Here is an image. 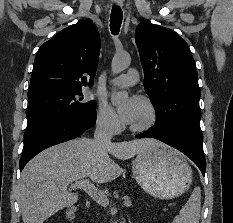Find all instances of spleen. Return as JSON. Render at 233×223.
I'll list each match as a JSON object with an SVG mask.
<instances>
[{
	"label": "spleen",
	"instance_id": "obj_1",
	"mask_svg": "<svg viewBox=\"0 0 233 223\" xmlns=\"http://www.w3.org/2000/svg\"><path fill=\"white\" fill-rule=\"evenodd\" d=\"M201 209V189L194 187L187 203L183 205L174 223H199Z\"/></svg>",
	"mask_w": 233,
	"mask_h": 223
}]
</instances>
